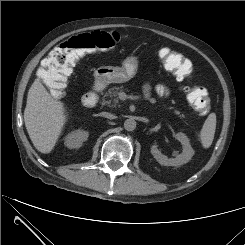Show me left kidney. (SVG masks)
Masks as SVG:
<instances>
[{
  "label": "left kidney",
  "instance_id": "obj_1",
  "mask_svg": "<svg viewBox=\"0 0 245 245\" xmlns=\"http://www.w3.org/2000/svg\"><path fill=\"white\" fill-rule=\"evenodd\" d=\"M176 139L180 141L183 147V151L181 154L177 155L176 158H168L167 156L163 155L161 151L158 150L157 144L151 146V154L154 158L164 166H178L184 163H187L191 160L192 156L194 155V150L190 145L188 137L184 133H177Z\"/></svg>",
  "mask_w": 245,
  "mask_h": 245
}]
</instances>
